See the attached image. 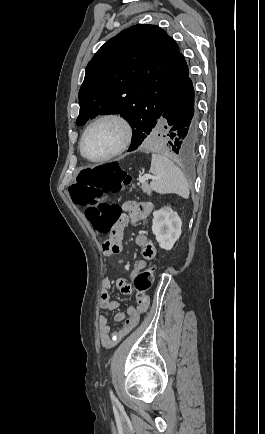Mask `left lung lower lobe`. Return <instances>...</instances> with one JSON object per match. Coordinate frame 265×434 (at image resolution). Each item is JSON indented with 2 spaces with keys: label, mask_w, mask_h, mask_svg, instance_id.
<instances>
[{
  "label": "left lung lower lobe",
  "mask_w": 265,
  "mask_h": 434,
  "mask_svg": "<svg viewBox=\"0 0 265 434\" xmlns=\"http://www.w3.org/2000/svg\"><path fill=\"white\" fill-rule=\"evenodd\" d=\"M160 119L167 123L168 147L176 154L195 153L199 139L198 117L194 107V88L189 73L169 100ZM149 129L135 130L129 151L136 150L149 135Z\"/></svg>",
  "instance_id": "left-lung-lower-lobe-1"
}]
</instances>
